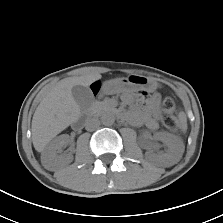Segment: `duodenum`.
Returning <instances> with one entry per match:
<instances>
[{"label": "duodenum", "instance_id": "obj_1", "mask_svg": "<svg viewBox=\"0 0 223 223\" xmlns=\"http://www.w3.org/2000/svg\"><path fill=\"white\" fill-rule=\"evenodd\" d=\"M74 127H80L81 126V121L80 120H77L74 122Z\"/></svg>", "mask_w": 223, "mask_h": 223}]
</instances>
